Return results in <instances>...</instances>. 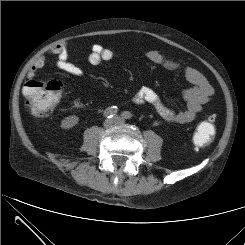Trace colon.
Instances as JSON below:
<instances>
[{
    "label": "colon",
    "instance_id": "5ec220e1",
    "mask_svg": "<svg viewBox=\"0 0 245 245\" xmlns=\"http://www.w3.org/2000/svg\"><path fill=\"white\" fill-rule=\"evenodd\" d=\"M62 88L63 85L58 80L27 79L23 94L31 113L39 117L50 114L62 97ZM215 120L214 115H209L206 120L198 124L193 136L195 147L204 148L212 142L215 135Z\"/></svg>",
    "mask_w": 245,
    "mask_h": 245
}]
</instances>
